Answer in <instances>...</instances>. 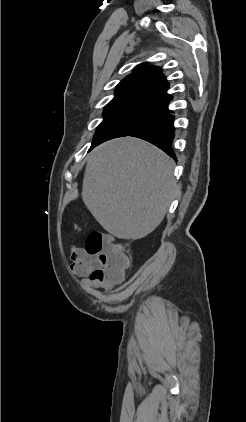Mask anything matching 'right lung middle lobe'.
Wrapping results in <instances>:
<instances>
[{
  "label": "right lung middle lobe",
  "instance_id": "dd1d6c3e",
  "mask_svg": "<svg viewBox=\"0 0 246 422\" xmlns=\"http://www.w3.org/2000/svg\"><path fill=\"white\" fill-rule=\"evenodd\" d=\"M163 110L147 108H112L105 107L103 121L96 129L91 148L122 136H129L138 129L157 120Z\"/></svg>",
  "mask_w": 246,
  "mask_h": 422
}]
</instances>
